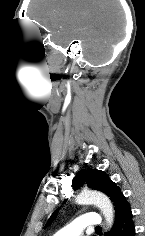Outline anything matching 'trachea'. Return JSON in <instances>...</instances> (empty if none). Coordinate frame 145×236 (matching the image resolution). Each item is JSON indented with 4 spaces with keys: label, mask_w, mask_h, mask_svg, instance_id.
<instances>
[{
    "label": "trachea",
    "mask_w": 145,
    "mask_h": 236,
    "mask_svg": "<svg viewBox=\"0 0 145 236\" xmlns=\"http://www.w3.org/2000/svg\"><path fill=\"white\" fill-rule=\"evenodd\" d=\"M96 229H101V227H100V226H97Z\"/></svg>",
    "instance_id": "1"
}]
</instances>
